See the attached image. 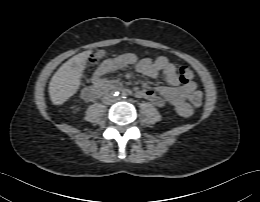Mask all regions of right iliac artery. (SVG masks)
Masks as SVG:
<instances>
[{"label": "right iliac artery", "mask_w": 260, "mask_h": 202, "mask_svg": "<svg viewBox=\"0 0 260 202\" xmlns=\"http://www.w3.org/2000/svg\"><path fill=\"white\" fill-rule=\"evenodd\" d=\"M112 94H113L114 96H118V95L120 94V92H119V90L115 89V90L112 92Z\"/></svg>", "instance_id": "82829eb1"}]
</instances>
